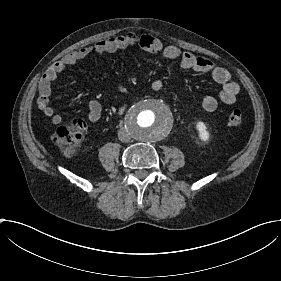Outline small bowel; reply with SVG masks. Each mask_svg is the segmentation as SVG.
Masks as SVG:
<instances>
[{
    "instance_id": "obj_1",
    "label": "small bowel",
    "mask_w": 281,
    "mask_h": 281,
    "mask_svg": "<svg viewBox=\"0 0 281 281\" xmlns=\"http://www.w3.org/2000/svg\"><path fill=\"white\" fill-rule=\"evenodd\" d=\"M134 47H140L145 51L159 53L163 60H177L179 66L183 69L210 73L213 78L222 85V88L219 96L210 94L201 96L200 103L204 110L209 112L214 111L221 102L227 105H233L235 103L236 96L239 92V84L231 78L228 70L224 67L207 58H200L191 53H184L176 46L165 45L162 40L154 38L151 35L128 33L80 47L54 64L51 69L46 72L39 85L37 105L42 114L49 118L51 123L55 126L62 125L66 122V118L56 114L49 102L52 83L66 68L78 63L91 54H108L117 50ZM151 88L154 91H160L163 88V82L156 79L152 81ZM118 90L123 95H127L128 93L124 85H118ZM72 93V90L68 88L67 94L71 95ZM88 107L89 122L94 124L98 122L101 117L102 104L100 101L92 99Z\"/></svg>"
}]
</instances>
